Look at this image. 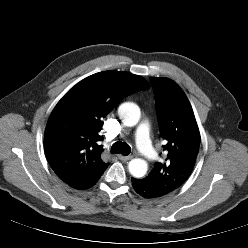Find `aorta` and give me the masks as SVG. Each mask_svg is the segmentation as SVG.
Listing matches in <instances>:
<instances>
[{"instance_id":"obj_1","label":"aorta","mask_w":248,"mask_h":248,"mask_svg":"<svg viewBox=\"0 0 248 248\" xmlns=\"http://www.w3.org/2000/svg\"><path fill=\"white\" fill-rule=\"evenodd\" d=\"M119 117L126 126H135L140 120V108L132 102H125L118 108ZM130 174L135 178L143 177L148 170L147 162L143 159H132L128 164Z\"/></svg>"}]
</instances>
